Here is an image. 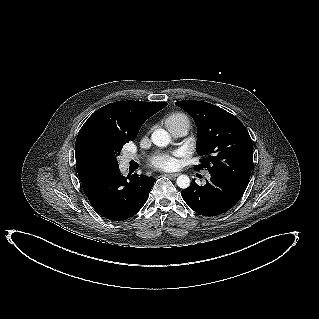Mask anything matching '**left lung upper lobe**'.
I'll list each match as a JSON object with an SVG mask.
<instances>
[{
	"instance_id": "obj_1",
	"label": "left lung upper lobe",
	"mask_w": 319,
	"mask_h": 319,
	"mask_svg": "<svg viewBox=\"0 0 319 319\" xmlns=\"http://www.w3.org/2000/svg\"><path fill=\"white\" fill-rule=\"evenodd\" d=\"M176 105L188 112L197 126V152L203 158L195 168H206L210 174L226 176L247 185L253 166V147L242 122L207 102L184 100Z\"/></svg>"
}]
</instances>
